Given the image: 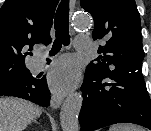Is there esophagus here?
<instances>
[{"label":"esophagus","mask_w":151,"mask_h":131,"mask_svg":"<svg viewBox=\"0 0 151 131\" xmlns=\"http://www.w3.org/2000/svg\"><path fill=\"white\" fill-rule=\"evenodd\" d=\"M75 3H76V0H70L71 11L74 10ZM62 101H63V96L62 95L54 94L51 97V103H50L51 107L54 108V109H57L61 105Z\"/></svg>","instance_id":"34e87169"}]
</instances>
